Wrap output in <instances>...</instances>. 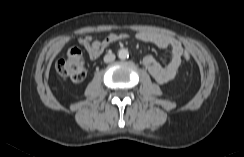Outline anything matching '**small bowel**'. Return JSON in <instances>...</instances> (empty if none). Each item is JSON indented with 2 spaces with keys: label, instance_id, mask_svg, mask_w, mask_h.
Segmentation results:
<instances>
[{
  "label": "small bowel",
  "instance_id": "small-bowel-1",
  "mask_svg": "<svg viewBox=\"0 0 244 157\" xmlns=\"http://www.w3.org/2000/svg\"><path fill=\"white\" fill-rule=\"evenodd\" d=\"M112 42L123 40L127 34H111ZM135 38L142 42L154 44L160 48L170 49V60L166 65H161L153 56L147 55L143 59L144 66L149 71L153 79L159 84H165L173 80L181 65L183 48L181 43L175 38L152 31H141L135 34ZM79 43L86 49L91 59H97L107 46L91 36H82ZM110 43V44H111ZM109 45V44H108Z\"/></svg>",
  "mask_w": 244,
  "mask_h": 157
}]
</instances>
